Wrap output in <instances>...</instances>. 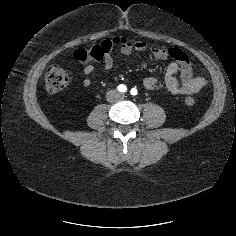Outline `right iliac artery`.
Masks as SVG:
<instances>
[{"instance_id": "obj_1", "label": "right iliac artery", "mask_w": 236, "mask_h": 236, "mask_svg": "<svg viewBox=\"0 0 236 236\" xmlns=\"http://www.w3.org/2000/svg\"><path fill=\"white\" fill-rule=\"evenodd\" d=\"M118 91L119 92H126L127 91V87L124 85V84H120L118 87H117Z\"/></svg>"}]
</instances>
